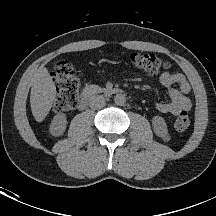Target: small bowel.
<instances>
[{
	"instance_id": "1",
	"label": "small bowel",
	"mask_w": 216,
	"mask_h": 216,
	"mask_svg": "<svg viewBox=\"0 0 216 216\" xmlns=\"http://www.w3.org/2000/svg\"><path fill=\"white\" fill-rule=\"evenodd\" d=\"M159 80L169 94V101L156 103L155 107L159 112L179 115L191 109L192 103L188 97L191 86L182 73L164 71Z\"/></svg>"
}]
</instances>
